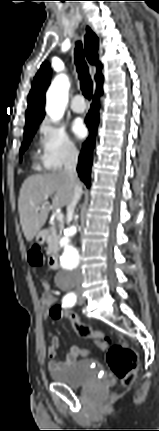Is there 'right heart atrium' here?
I'll return each mask as SVG.
<instances>
[{
	"label": "right heart atrium",
	"mask_w": 159,
	"mask_h": 431,
	"mask_svg": "<svg viewBox=\"0 0 159 431\" xmlns=\"http://www.w3.org/2000/svg\"><path fill=\"white\" fill-rule=\"evenodd\" d=\"M40 162L50 171L60 170L65 164L75 160L78 150L65 130L44 120L38 126Z\"/></svg>",
	"instance_id": "right-heart-atrium-1"
}]
</instances>
